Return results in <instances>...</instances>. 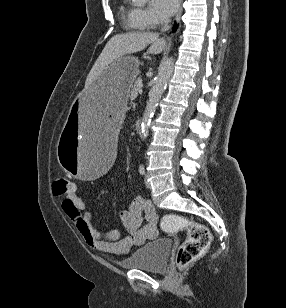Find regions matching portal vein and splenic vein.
Returning a JSON list of instances; mask_svg holds the SVG:
<instances>
[{
  "instance_id": "portal-vein-and-splenic-vein-1",
  "label": "portal vein and splenic vein",
  "mask_w": 286,
  "mask_h": 308,
  "mask_svg": "<svg viewBox=\"0 0 286 308\" xmlns=\"http://www.w3.org/2000/svg\"><path fill=\"white\" fill-rule=\"evenodd\" d=\"M138 92L141 94V93H142V89L140 88V89L138 90Z\"/></svg>"
}]
</instances>
